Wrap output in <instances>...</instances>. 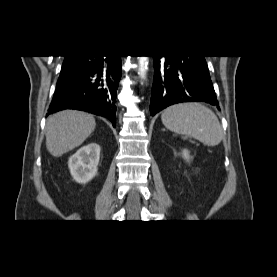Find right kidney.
I'll list each match as a JSON object with an SVG mask.
<instances>
[{
	"instance_id": "obj_1",
	"label": "right kidney",
	"mask_w": 277,
	"mask_h": 277,
	"mask_svg": "<svg viewBox=\"0 0 277 277\" xmlns=\"http://www.w3.org/2000/svg\"><path fill=\"white\" fill-rule=\"evenodd\" d=\"M100 159V146L90 143L81 147L68 160V167L73 179L81 184L92 180L97 174Z\"/></svg>"
}]
</instances>
